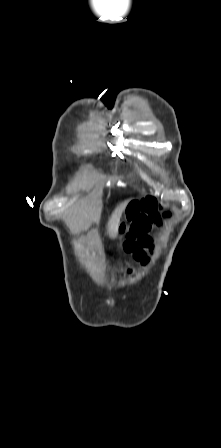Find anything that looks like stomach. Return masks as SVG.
Masks as SVG:
<instances>
[{
	"label": "stomach",
	"mask_w": 221,
	"mask_h": 448,
	"mask_svg": "<svg viewBox=\"0 0 221 448\" xmlns=\"http://www.w3.org/2000/svg\"><path fill=\"white\" fill-rule=\"evenodd\" d=\"M132 204H133V202H131V203H130V204L128 205V208H129V207H131V206H132Z\"/></svg>",
	"instance_id": "0dacf381"
}]
</instances>
